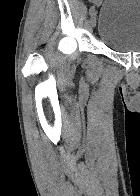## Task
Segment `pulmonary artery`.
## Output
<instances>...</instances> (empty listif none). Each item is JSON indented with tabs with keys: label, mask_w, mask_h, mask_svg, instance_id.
I'll return each mask as SVG.
<instances>
[{
	"label": "pulmonary artery",
	"mask_w": 140,
	"mask_h": 196,
	"mask_svg": "<svg viewBox=\"0 0 140 196\" xmlns=\"http://www.w3.org/2000/svg\"><path fill=\"white\" fill-rule=\"evenodd\" d=\"M55 192H73V191H55Z\"/></svg>",
	"instance_id": "pulmonary-artery-1"
}]
</instances>
